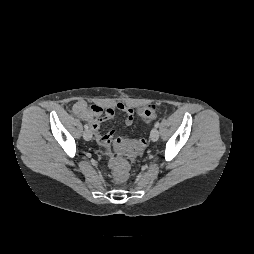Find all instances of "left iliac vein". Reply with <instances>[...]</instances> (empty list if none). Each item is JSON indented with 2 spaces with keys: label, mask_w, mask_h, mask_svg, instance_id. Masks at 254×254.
<instances>
[{
  "label": "left iliac vein",
  "mask_w": 254,
  "mask_h": 254,
  "mask_svg": "<svg viewBox=\"0 0 254 254\" xmlns=\"http://www.w3.org/2000/svg\"><path fill=\"white\" fill-rule=\"evenodd\" d=\"M150 138L152 141H157L159 138V131L157 128H153L150 132Z\"/></svg>",
  "instance_id": "4c4485c4"
}]
</instances>
